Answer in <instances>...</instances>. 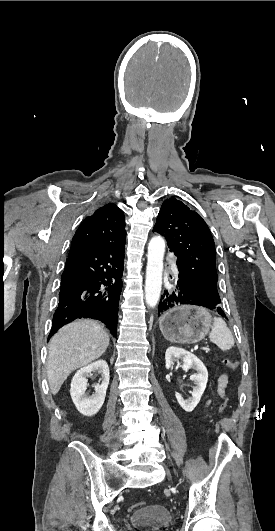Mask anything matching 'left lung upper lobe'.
I'll list each match as a JSON object with an SVG mask.
<instances>
[{"label":"left lung upper lobe","instance_id":"1","mask_svg":"<svg viewBox=\"0 0 275 531\" xmlns=\"http://www.w3.org/2000/svg\"><path fill=\"white\" fill-rule=\"evenodd\" d=\"M153 231L165 237L177 256V286L201 306L215 308L221 300L215 245L206 222L183 202L169 198L161 206Z\"/></svg>","mask_w":275,"mask_h":531}]
</instances>
